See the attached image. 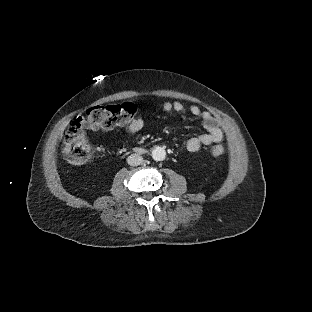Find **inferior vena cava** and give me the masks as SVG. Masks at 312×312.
<instances>
[{"instance_id": "1", "label": "inferior vena cava", "mask_w": 312, "mask_h": 312, "mask_svg": "<svg viewBox=\"0 0 312 312\" xmlns=\"http://www.w3.org/2000/svg\"><path fill=\"white\" fill-rule=\"evenodd\" d=\"M127 162L130 166H138L143 162V157L139 154H131L127 158Z\"/></svg>"}]
</instances>
